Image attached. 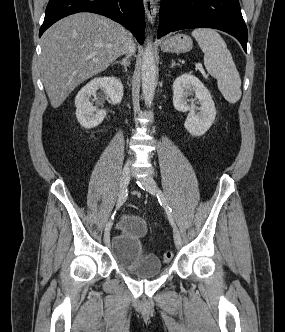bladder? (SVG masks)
I'll return each instance as SVG.
<instances>
[{
	"instance_id": "31cf9c89",
	"label": "bladder",
	"mask_w": 285,
	"mask_h": 332,
	"mask_svg": "<svg viewBox=\"0 0 285 332\" xmlns=\"http://www.w3.org/2000/svg\"><path fill=\"white\" fill-rule=\"evenodd\" d=\"M147 232L148 225L143 218L128 214L121 220L119 231L110 242L117 264L140 278L153 277L162 271L159 258L144 250L143 239Z\"/></svg>"
}]
</instances>
